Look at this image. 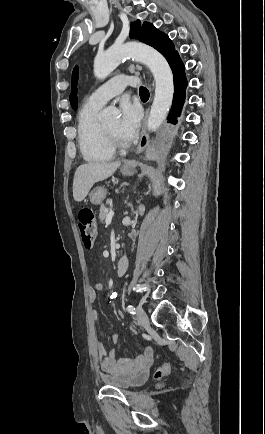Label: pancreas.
Masks as SVG:
<instances>
[{
	"label": "pancreas",
	"instance_id": "pancreas-1",
	"mask_svg": "<svg viewBox=\"0 0 265 434\" xmlns=\"http://www.w3.org/2000/svg\"><path fill=\"white\" fill-rule=\"evenodd\" d=\"M111 208H106V204H101L100 206V214H99V220L100 222H104L106 220Z\"/></svg>",
	"mask_w": 265,
	"mask_h": 434
}]
</instances>
